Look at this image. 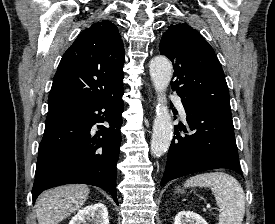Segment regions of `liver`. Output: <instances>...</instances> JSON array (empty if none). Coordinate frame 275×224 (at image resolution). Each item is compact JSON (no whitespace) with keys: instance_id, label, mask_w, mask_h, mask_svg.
<instances>
[{"instance_id":"1","label":"liver","mask_w":275,"mask_h":224,"mask_svg":"<svg viewBox=\"0 0 275 224\" xmlns=\"http://www.w3.org/2000/svg\"><path fill=\"white\" fill-rule=\"evenodd\" d=\"M90 190L82 184L59 186L43 192L36 201L38 224H58L86 202Z\"/></svg>"}]
</instances>
